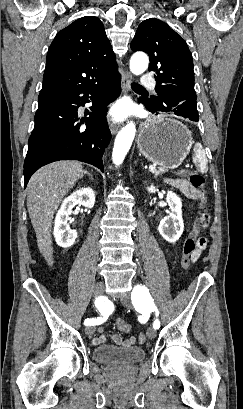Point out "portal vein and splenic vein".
Returning a JSON list of instances; mask_svg holds the SVG:
<instances>
[{"label": "portal vein and splenic vein", "mask_w": 243, "mask_h": 409, "mask_svg": "<svg viewBox=\"0 0 243 409\" xmlns=\"http://www.w3.org/2000/svg\"><path fill=\"white\" fill-rule=\"evenodd\" d=\"M155 169H156L155 165H150L149 166V170H155Z\"/></svg>", "instance_id": "1"}]
</instances>
